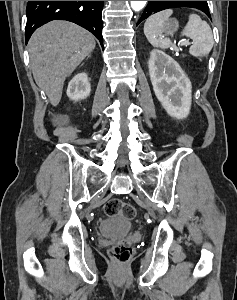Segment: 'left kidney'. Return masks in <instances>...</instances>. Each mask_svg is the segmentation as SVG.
<instances>
[{
    "label": "left kidney",
    "instance_id": "1",
    "mask_svg": "<svg viewBox=\"0 0 237 300\" xmlns=\"http://www.w3.org/2000/svg\"><path fill=\"white\" fill-rule=\"evenodd\" d=\"M153 91L170 117L186 119L191 107V81L172 57L153 49L149 59Z\"/></svg>",
    "mask_w": 237,
    "mask_h": 300
}]
</instances>
